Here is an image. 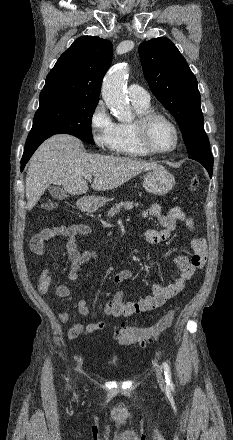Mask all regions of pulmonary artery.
Segmentation results:
<instances>
[{
    "mask_svg": "<svg viewBox=\"0 0 233 440\" xmlns=\"http://www.w3.org/2000/svg\"><path fill=\"white\" fill-rule=\"evenodd\" d=\"M128 95L133 103L145 105L150 102L149 94L138 84H131L129 86Z\"/></svg>",
    "mask_w": 233,
    "mask_h": 440,
    "instance_id": "obj_1",
    "label": "pulmonary artery"
}]
</instances>
